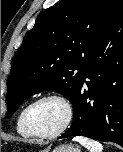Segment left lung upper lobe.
I'll return each instance as SVG.
<instances>
[{
	"instance_id": "5c2ea615",
	"label": "left lung upper lobe",
	"mask_w": 123,
	"mask_h": 152,
	"mask_svg": "<svg viewBox=\"0 0 123 152\" xmlns=\"http://www.w3.org/2000/svg\"><path fill=\"white\" fill-rule=\"evenodd\" d=\"M121 0H59L36 19L12 59L8 116L28 97L56 91L71 103L81 85L84 64Z\"/></svg>"
}]
</instances>
